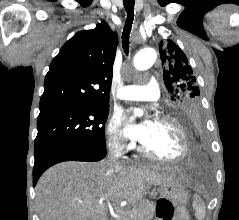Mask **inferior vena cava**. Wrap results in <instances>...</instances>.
<instances>
[{
    "label": "inferior vena cava",
    "instance_id": "inferior-vena-cava-1",
    "mask_svg": "<svg viewBox=\"0 0 239 220\" xmlns=\"http://www.w3.org/2000/svg\"><path fill=\"white\" fill-rule=\"evenodd\" d=\"M118 151H121V150H119L116 147H112L106 162L112 165H118V160H117V157L119 155Z\"/></svg>",
    "mask_w": 239,
    "mask_h": 220
}]
</instances>
